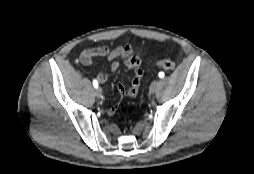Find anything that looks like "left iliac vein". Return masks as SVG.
Segmentation results:
<instances>
[{"label":"left iliac vein","mask_w":254,"mask_h":174,"mask_svg":"<svg viewBox=\"0 0 254 174\" xmlns=\"http://www.w3.org/2000/svg\"><path fill=\"white\" fill-rule=\"evenodd\" d=\"M159 88V82L158 81H154L152 82V84L150 85V92L154 93L157 91V89Z\"/></svg>","instance_id":"obj_1"}]
</instances>
